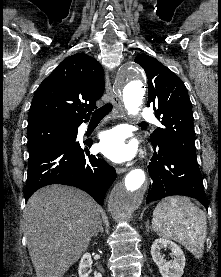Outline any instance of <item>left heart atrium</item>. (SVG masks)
I'll return each mask as SVG.
<instances>
[{
    "label": "left heart atrium",
    "instance_id": "1",
    "mask_svg": "<svg viewBox=\"0 0 221 277\" xmlns=\"http://www.w3.org/2000/svg\"><path fill=\"white\" fill-rule=\"evenodd\" d=\"M101 152L114 162L130 160L135 154V144L128 142L126 133L121 128L104 131L100 136Z\"/></svg>",
    "mask_w": 221,
    "mask_h": 277
}]
</instances>
